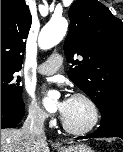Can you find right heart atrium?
Returning a JSON list of instances; mask_svg holds the SVG:
<instances>
[{
	"mask_svg": "<svg viewBox=\"0 0 123 152\" xmlns=\"http://www.w3.org/2000/svg\"><path fill=\"white\" fill-rule=\"evenodd\" d=\"M26 110L28 117L36 123H45L49 120V114L32 100L27 102Z\"/></svg>",
	"mask_w": 123,
	"mask_h": 152,
	"instance_id": "1",
	"label": "right heart atrium"
}]
</instances>
